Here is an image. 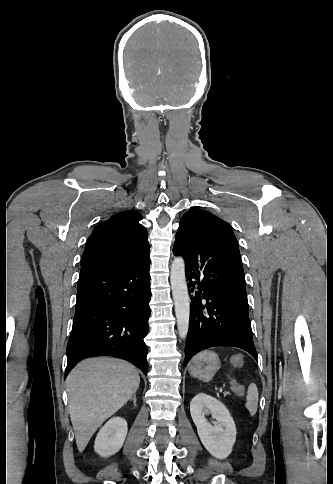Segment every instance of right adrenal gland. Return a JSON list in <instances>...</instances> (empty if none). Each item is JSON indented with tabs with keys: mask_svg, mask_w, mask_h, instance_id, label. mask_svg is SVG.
Instances as JSON below:
<instances>
[{
	"mask_svg": "<svg viewBox=\"0 0 333 484\" xmlns=\"http://www.w3.org/2000/svg\"><path fill=\"white\" fill-rule=\"evenodd\" d=\"M132 399L134 401V405L136 406V395H134V397Z\"/></svg>",
	"mask_w": 333,
	"mask_h": 484,
	"instance_id": "2a0ac1e0",
	"label": "right adrenal gland"
}]
</instances>
